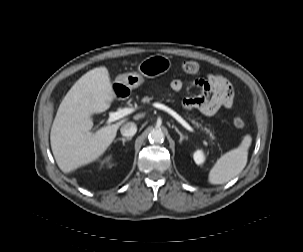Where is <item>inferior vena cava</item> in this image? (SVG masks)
Returning a JSON list of instances; mask_svg holds the SVG:
<instances>
[{
    "label": "inferior vena cava",
    "instance_id": "obj_1",
    "mask_svg": "<svg viewBox=\"0 0 303 252\" xmlns=\"http://www.w3.org/2000/svg\"><path fill=\"white\" fill-rule=\"evenodd\" d=\"M120 132L125 137H132L137 132V126L134 122H127L122 125Z\"/></svg>",
    "mask_w": 303,
    "mask_h": 252
}]
</instances>
